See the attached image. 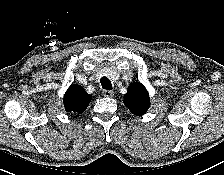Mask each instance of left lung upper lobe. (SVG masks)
Returning a JSON list of instances; mask_svg holds the SVG:
<instances>
[{
  "label": "left lung upper lobe",
  "instance_id": "obj_1",
  "mask_svg": "<svg viewBox=\"0 0 224 175\" xmlns=\"http://www.w3.org/2000/svg\"><path fill=\"white\" fill-rule=\"evenodd\" d=\"M124 104L134 115L144 114L149 106L150 99L146 88L141 83H132L124 95Z\"/></svg>",
  "mask_w": 224,
  "mask_h": 175
}]
</instances>
